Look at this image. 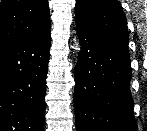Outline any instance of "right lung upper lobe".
<instances>
[{
    "label": "right lung upper lobe",
    "mask_w": 147,
    "mask_h": 131,
    "mask_svg": "<svg viewBox=\"0 0 147 131\" xmlns=\"http://www.w3.org/2000/svg\"><path fill=\"white\" fill-rule=\"evenodd\" d=\"M50 29L47 0H2L0 47L32 38Z\"/></svg>",
    "instance_id": "right-lung-upper-lobe-1"
}]
</instances>
